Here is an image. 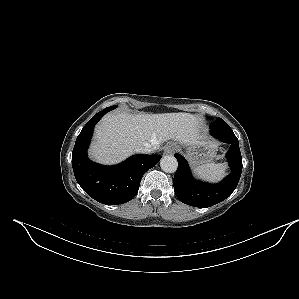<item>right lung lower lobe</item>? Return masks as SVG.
Returning a JSON list of instances; mask_svg holds the SVG:
<instances>
[{
	"instance_id": "1",
	"label": "right lung lower lobe",
	"mask_w": 299,
	"mask_h": 299,
	"mask_svg": "<svg viewBox=\"0 0 299 299\" xmlns=\"http://www.w3.org/2000/svg\"><path fill=\"white\" fill-rule=\"evenodd\" d=\"M110 107L98 112L83 127L72 152V167L81 188L96 201L107 204H123L133 199L144 173L155 166L161 155L137 154L115 166H103L87 157L94 126Z\"/></svg>"
}]
</instances>
